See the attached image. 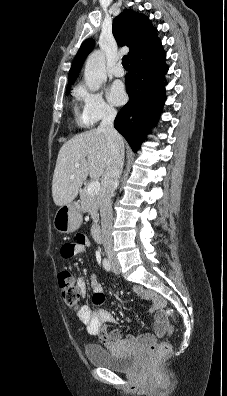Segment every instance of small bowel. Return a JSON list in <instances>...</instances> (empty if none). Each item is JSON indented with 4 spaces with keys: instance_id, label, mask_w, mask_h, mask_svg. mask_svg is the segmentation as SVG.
<instances>
[{
    "instance_id": "small-bowel-1",
    "label": "small bowel",
    "mask_w": 227,
    "mask_h": 396,
    "mask_svg": "<svg viewBox=\"0 0 227 396\" xmlns=\"http://www.w3.org/2000/svg\"><path fill=\"white\" fill-rule=\"evenodd\" d=\"M89 246V240L85 235L78 234L73 242L66 243L62 247V255L65 258L72 257L75 254L83 253ZM80 295L86 294L87 285L83 278L76 281ZM91 290L93 301L96 305L104 302L105 295L101 283L95 276L91 277ZM133 292L144 300L150 301V311L154 314V335L146 334L141 337L128 335L123 338L122 332L118 328H110L114 323V317L111 312L105 309L92 310L89 306L83 305L78 311V317L85 324L90 335L97 336L100 343L107 348H114L121 344L142 343L149 344L151 347L157 344L160 337L170 333V325L166 320L163 307L166 301L155 292L145 289L139 285L133 286Z\"/></svg>"
}]
</instances>
